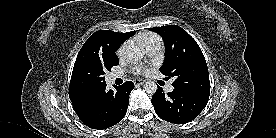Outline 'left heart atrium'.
<instances>
[{
  "mask_svg": "<svg viewBox=\"0 0 276 138\" xmlns=\"http://www.w3.org/2000/svg\"><path fill=\"white\" fill-rule=\"evenodd\" d=\"M134 71H135L136 73L141 74V73H145V72H146V69H145L144 67H142V66H136V67L134 68Z\"/></svg>",
  "mask_w": 276,
  "mask_h": 138,
  "instance_id": "39dd6f15",
  "label": "left heart atrium"
}]
</instances>
